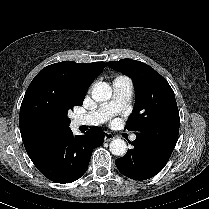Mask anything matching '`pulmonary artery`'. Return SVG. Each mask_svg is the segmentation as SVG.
I'll list each match as a JSON object with an SVG mask.
<instances>
[{
	"label": "pulmonary artery",
	"mask_w": 209,
	"mask_h": 209,
	"mask_svg": "<svg viewBox=\"0 0 209 209\" xmlns=\"http://www.w3.org/2000/svg\"><path fill=\"white\" fill-rule=\"evenodd\" d=\"M132 95V86L128 79H117L113 83V97L110 103L100 107L98 110L86 115L77 116V125H99L105 122L113 114L122 110ZM131 140L136 139V135H131Z\"/></svg>",
	"instance_id": "1"
}]
</instances>
